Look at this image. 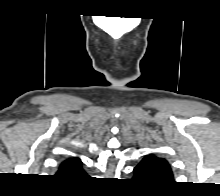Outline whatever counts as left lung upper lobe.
Returning <instances> with one entry per match:
<instances>
[{
  "instance_id": "5c2ea615",
  "label": "left lung upper lobe",
  "mask_w": 220,
  "mask_h": 196,
  "mask_svg": "<svg viewBox=\"0 0 220 196\" xmlns=\"http://www.w3.org/2000/svg\"><path fill=\"white\" fill-rule=\"evenodd\" d=\"M142 161L149 165L163 183L173 182V173L166 159L157 157L154 154H149L145 156Z\"/></svg>"
}]
</instances>
